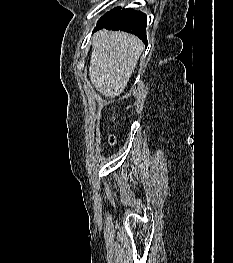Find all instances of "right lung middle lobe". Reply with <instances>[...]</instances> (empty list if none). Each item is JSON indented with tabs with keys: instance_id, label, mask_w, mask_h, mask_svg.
<instances>
[{
	"instance_id": "obj_1",
	"label": "right lung middle lobe",
	"mask_w": 233,
	"mask_h": 263,
	"mask_svg": "<svg viewBox=\"0 0 233 263\" xmlns=\"http://www.w3.org/2000/svg\"><path fill=\"white\" fill-rule=\"evenodd\" d=\"M121 11L120 7H117L115 9H113L112 11L106 13L100 20L98 23H107L109 22L111 19H113L119 12Z\"/></svg>"
}]
</instances>
